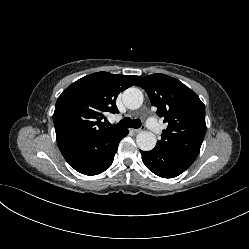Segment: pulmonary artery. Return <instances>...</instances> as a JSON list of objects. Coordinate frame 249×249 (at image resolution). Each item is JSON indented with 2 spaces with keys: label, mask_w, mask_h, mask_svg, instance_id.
<instances>
[{
  "label": "pulmonary artery",
  "mask_w": 249,
  "mask_h": 249,
  "mask_svg": "<svg viewBox=\"0 0 249 249\" xmlns=\"http://www.w3.org/2000/svg\"><path fill=\"white\" fill-rule=\"evenodd\" d=\"M147 127L155 134L160 131L159 124L152 118H149L146 122Z\"/></svg>",
  "instance_id": "pulmonary-artery-1"
}]
</instances>
